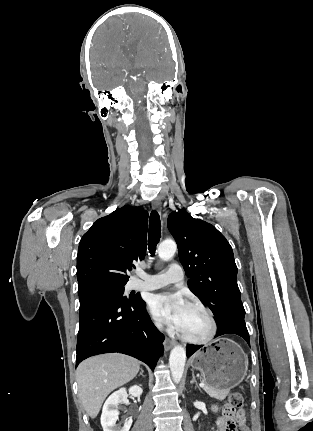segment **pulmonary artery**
<instances>
[{
  "label": "pulmonary artery",
  "instance_id": "1",
  "mask_svg": "<svg viewBox=\"0 0 313 431\" xmlns=\"http://www.w3.org/2000/svg\"><path fill=\"white\" fill-rule=\"evenodd\" d=\"M142 279L132 282V288L136 290H155L169 285L182 286L184 274L180 265L173 263L166 271L155 275L139 273Z\"/></svg>",
  "mask_w": 313,
  "mask_h": 431
}]
</instances>
